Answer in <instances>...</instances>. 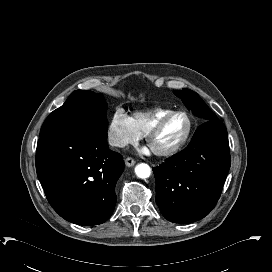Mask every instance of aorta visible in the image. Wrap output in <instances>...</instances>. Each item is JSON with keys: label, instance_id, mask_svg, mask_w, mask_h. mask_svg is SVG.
<instances>
[{"label": "aorta", "instance_id": "obj_1", "mask_svg": "<svg viewBox=\"0 0 272 272\" xmlns=\"http://www.w3.org/2000/svg\"><path fill=\"white\" fill-rule=\"evenodd\" d=\"M136 175L141 179H146L151 175V168L145 163L138 164L135 167Z\"/></svg>", "mask_w": 272, "mask_h": 272}]
</instances>
